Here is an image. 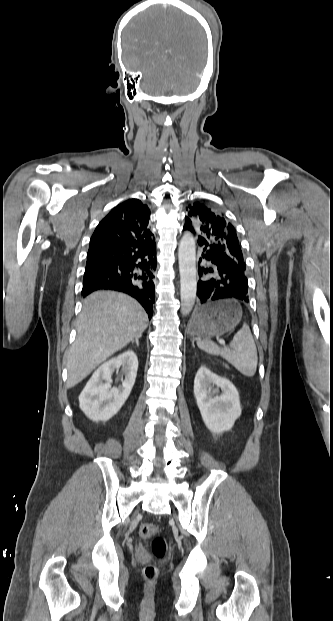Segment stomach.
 <instances>
[{"mask_svg":"<svg viewBox=\"0 0 333 621\" xmlns=\"http://www.w3.org/2000/svg\"><path fill=\"white\" fill-rule=\"evenodd\" d=\"M242 312L234 300H223L207 305L194 315L188 331L191 336L211 337L234 329Z\"/></svg>","mask_w":333,"mask_h":621,"instance_id":"stomach-1","label":"stomach"}]
</instances>
